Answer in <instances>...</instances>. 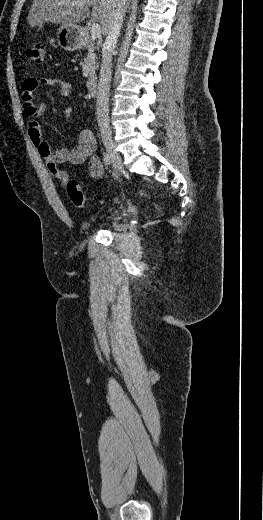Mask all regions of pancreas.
Segmentation results:
<instances>
[{"instance_id": "pancreas-1", "label": "pancreas", "mask_w": 263, "mask_h": 520, "mask_svg": "<svg viewBox=\"0 0 263 520\" xmlns=\"http://www.w3.org/2000/svg\"><path fill=\"white\" fill-rule=\"evenodd\" d=\"M88 53L81 63L83 76L88 77L95 74L97 56L95 53L96 46L94 41L91 39L87 42Z\"/></svg>"}]
</instances>
